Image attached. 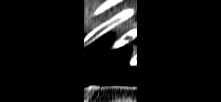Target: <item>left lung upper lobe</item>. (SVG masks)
Here are the masks:
<instances>
[{
    "label": "left lung upper lobe",
    "mask_w": 221,
    "mask_h": 102,
    "mask_svg": "<svg viewBox=\"0 0 221 102\" xmlns=\"http://www.w3.org/2000/svg\"><path fill=\"white\" fill-rule=\"evenodd\" d=\"M110 37H105L98 44H96L91 50L84 52L80 51L75 58V71L80 77L85 74V72L93 65L96 59L104 51Z\"/></svg>",
    "instance_id": "left-lung-upper-lobe-1"
}]
</instances>
